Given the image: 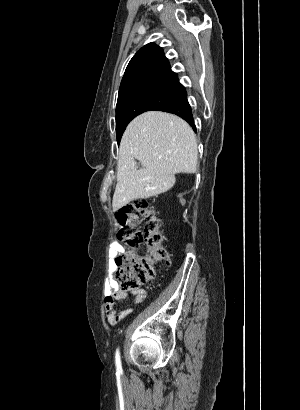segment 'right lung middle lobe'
<instances>
[{
    "label": "right lung middle lobe",
    "mask_w": 300,
    "mask_h": 410,
    "mask_svg": "<svg viewBox=\"0 0 300 410\" xmlns=\"http://www.w3.org/2000/svg\"><path fill=\"white\" fill-rule=\"evenodd\" d=\"M184 91L179 82L139 83L119 91L116 106L117 142L134 117L171 104Z\"/></svg>",
    "instance_id": "dd1d6c3e"
}]
</instances>
